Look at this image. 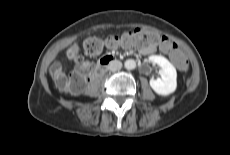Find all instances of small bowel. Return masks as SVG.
Segmentation results:
<instances>
[{"label": "small bowel", "mask_w": 230, "mask_h": 155, "mask_svg": "<svg viewBox=\"0 0 230 155\" xmlns=\"http://www.w3.org/2000/svg\"><path fill=\"white\" fill-rule=\"evenodd\" d=\"M108 49H111V48H108ZM111 50H113V49H111ZM154 50H155L154 46L142 47L140 49L141 53H143V54H151L154 52Z\"/></svg>", "instance_id": "obj_1"}]
</instances>
